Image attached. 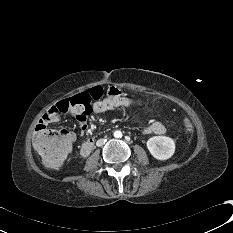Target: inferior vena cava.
<instances>
[{"instance_id":"1","label":"inferior vena cava","mask_w":233,"mask_h":233,"mask_svg":"<svg viewBox=\"0 0 233 233\" xmlns=\"http://www.w3.org/2000/svg\"><path fill=\"white\" fill-rule=\"evenodd\" d=\"M104 143L103 139H99L97 142H96V145L97 146H102Z\"/></svg>"}]
</instances>
